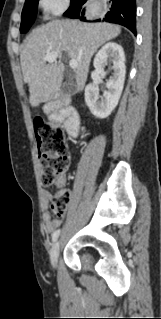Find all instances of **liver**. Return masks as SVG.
Listing matches in <instances>:
<instances>
[{
  "label": "liver",
  "instance_id": "liver-1",
  "mask_svg": "<svg viewBox=\"0 0 161 319\" xmlns=\"http://www.w3.org/2000/svg\"><path fill=\"white\" fill-rule=\"evenodd\" d=\"M121 32L110 23H82L71 20H54L35 29L24 43L20 54L24 82L29 85L32 107L48 102L61 88L64 65L61 62L46 64L44 56L51 51L61 56L65 52L78 61L77 91H82L88 76L92 56L105 42Z\"/></svg>",
  "mask_w": 161,
  "mask_h": 319
}]
</instances>
